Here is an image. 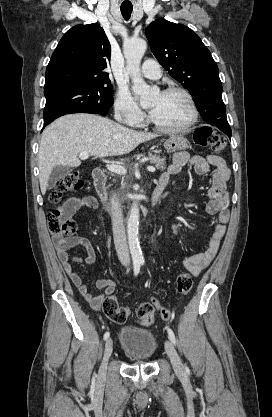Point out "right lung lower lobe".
<instances>
[{
  "mask_svg": "<svg viewBox=\"0 0 272 417\" xmlns=\"http://www.w3.org/2000/svg\"><path fill=\"white\" fill-rule=\"evenodd\" d=\"M92 113V114H100V113H98V112H95V111H92V110H72V111H69V112H66V113H63V114H61L60 116H63V115H66V114H71V113ZM60 116H58V117H60ZM58 117H55L54 119H52L51 121H49V122H47V123H45V125H48L49 123H51L53 120H55L56 118H58Z\"/></svg>",
  "mask_w": 272,
  "mask_h": 417,
  "instance_id": "obj_1",
  "label": "right lung lower lobe"
}]
</instances>
